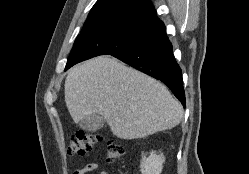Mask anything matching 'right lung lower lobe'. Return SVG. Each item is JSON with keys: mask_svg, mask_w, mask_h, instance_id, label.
I'll list each match as a JSON object with an SVG mask.
<instances>
[{"mask_svg": "<svg viewBox=\"0 0 249 174\" xmlns=\"http://www.w3.org/2000/svg\"><path fill=\"white\" fill-rule=\"evenodd\" d=\"M112 56L165 83L185 107L182 72L162 21L149 27L141 42Z\"/></svg>", "mask_w": 249, "mask_h": 174, "instance_id": "1", "label": "right lung lower lobe"}]
</instances>
